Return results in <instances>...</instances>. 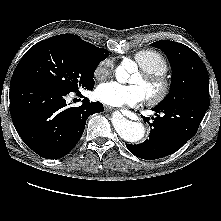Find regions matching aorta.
Masks as SVG:
<instances>
[{"mask_svg": "<svg viewBox=\"0 0 221 221\" xmlns=\"http://www.w3.org/2000/svg\"><path fill=\"white\" fill-rule=\"evenodd\" d=\"M136 71V65L131 62V67L122 64L116 69V79L120 83H126L131 73ZM112 124L118 135L128 142H138L146 134V128L141 122H134L123 117L119 112L112 116Z\"/></svg>", "mask_w": 221, "mask_h": 221, "instance_id": "762f6f07", "label": "aorta"}]
</instances>
